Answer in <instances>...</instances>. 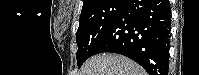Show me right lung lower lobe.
<instances>
[{
    "label": "right lung lower lobe",
    "mask_w": 199,
    "mask_h": 75,
    "mask_svg": "<svg viewBox=\"0 0 199 75\" xmlns=\"http://www.w3.org/2000/svg\"><path fill=\"white\" fill-rule=\"evenodd\" d=\"M171 8L169 0H127L94 53L125 55L149 75H168Z\"/></svg>",
    "instance_id": "98d812e1"
}]
</instances>
